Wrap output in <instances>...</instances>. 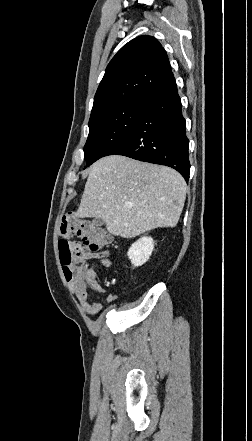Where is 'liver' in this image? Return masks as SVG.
Listing matches in <instances>:
<instances>
[{
    "mask_svg": "<svg viewBox=\"0 0 252 441\" xmlns=\"http://www.w3.org/2000/svg\"><path fill=\"white\" fill-rule=\"evenodd\" d=\"M186 193L184 178L172 168L106 156L90 167L76 216L101 217L110 234L132 238L158 227H175Z\"/></svg>",
    "mask_w": 252,
    "mask_h": 441,
    "instance_id": "obj_1",
    "label": "liver"
}]
</instances>
